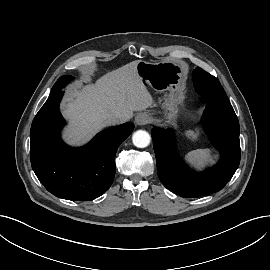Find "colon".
<instances>
[{
	"label": "colon",
	"instance_id": "colon-1",
	"mask_svg": "<svg viewBox=\"0 0 270 270\" xmlns=\"http://www.w3.org/2000/svg\"><path fill=\"white\" fill-rule=\"evenodd\" d=\"M190 136L193 137V138H198L200 136L199 130H197V129L196 130L195 129L191 130L190 131Z\"/></svg>",
	"mask_w": 270,
	"mask_h": 270
}]
</instances>
